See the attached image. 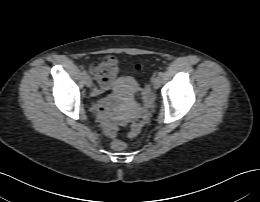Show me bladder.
<instances>
[{"label": "bladder", "instance_id": "1", "mask_svg": "<svg viewBox=\"0 0 260 202\" xmlns=\"http://www.w3.org/2000/svg\"><path fill=\"white\" fill-rule=\"evenodd\" d=\"M138 85L133 77L121 76L114 82L113 92L117 99L125 105H130L129 111L137 112L134 94Z\"/></svg>", "mask_w": 260, "mask_h": 202}]
</instances>
